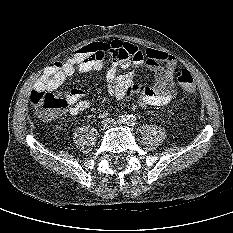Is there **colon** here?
<instances>
[{"instance_id":"obj_1","label":"colon","mask_w":233,"mask_h":233,"mask_svg":"<svg viewBox=\"0 0 233 233\" xmlns=\"http://www.w3.org/2000/svg\"><path fill=\"white\" fill-rule=\"evenodd\" d=\"M181 88L186 93H193L196 89L193 76L184 69L178 77ZM31 102L38 113L44 118H53L60 115L68 106L65 97L55 95L47 90L35 89L31 93Z\"/></svg>"}]
</instances>
